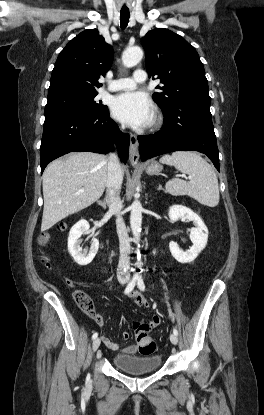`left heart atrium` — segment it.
Here are the masks:
<instances>
[{
	"mask_svg": "<svg viewBox=\"0 0 264 415\" xmlns=\"http://www.w3.org/2000/svg\"><path fill=\"white\" fill-rule=\"evenodd\" d=\"M112 112L120 121L137 128L151 122L154 108L145 93L136 91L122 93L115 97Z\"/></svg>",
	"mask_w": 264,
	"mask_h": 415,
	"instance_id": "1",
	"label": "left heart atrium"
}]
</instances>
